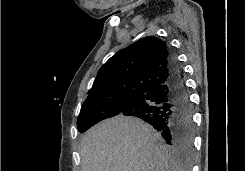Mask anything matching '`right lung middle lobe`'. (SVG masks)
Returning <instances> with one entry per match:
<instances>
[{
    "label": "right lung middle lobe",
    "instance_id": "dd1d6c3e",
    "mask_svg": "<svg viewBox=\"0 0 245 171\" xmlns=\"http://www.w3.org/2000/svg\"><path fill=\"white\" fill-rule=\"evenodd\" d=\"M135 98L136 96L134 95H118L106 99L84 102L78 116V131L83 133L101 120L120 114L123 107Z\"/></svg>",
    "mask_w": 245,
    "mask_h": 171
}]
</instances>
